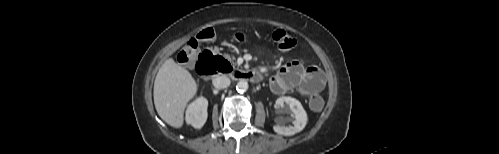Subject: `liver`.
I'll use <instances>...</instances> for the list:
<instances>
[{"label": "liver", "mask_w": 499, "mask_h": 154, "mask_svg": "<svg viewBox=\"0 0 499 154\" xmlns=\"http://www.w3.org/2000/svg\"><path fill=\"white\" fill-rule=\"evenodd\" d=\"M197 93L191 73L170 58L160 67L154 82V104L158 115L174 128H181L187 103Z\"/></svg>", "instance_id": "obj_1"}]
</instances>
